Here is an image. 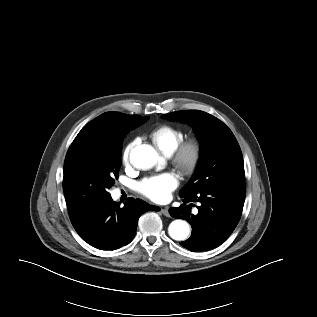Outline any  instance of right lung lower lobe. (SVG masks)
<instances>
[{"instance_id": "1", "label": "right lung lower lobe", "mask_w": 317, "mask_h": 317, "mask_svg": "<svg viewBox=\"0 0 317 317\" xmlns=\"http://www.w3.org/2000/svg\"><path fill=\"white\" fill-rule=\"evenodd\" d=\"M66 204L77 233L100 250H115L129 244L135 236L139 217L159 209L134 198H129L120 208L111 196L89 204L66 198Z\"/></svg>"}]
</instances>
